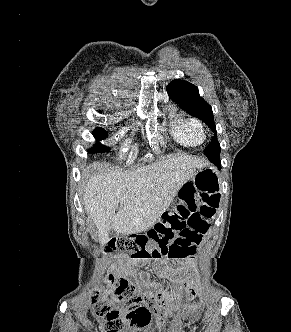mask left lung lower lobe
I'll return each mask as SVG.
<instances>
[{"label":"left lung lower lobe","instance_id":"1","mask_svg":"<svg viewBox=\"0 0 291 332\" xmlns=\"http://www.w3.org/2000/svg\"><path fill=\"white\" fill-rule=\"evenodd\" d=\"M211 162H213L218 168L221 167L220 158H218V159H213V160H211Z\"/></svg>","mask_w":291,"mask_h":332}]
</instances>
